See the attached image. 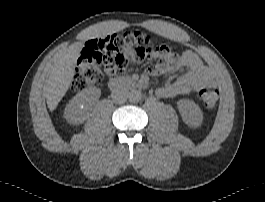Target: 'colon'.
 <instances>
[{"label": "colon", "mask_w": 265, "mask_h": 202, "mask_svg": "<svg viewBox=\"0 0 265 202\" xmlns=\"http://www.w3.org/2000/svg\"><path fill=\"white\" fill-rule=\"evenodd\" d=\"M167 51L156 44L150 35L137 32H119L100 38L93 53L81 58L72 78V91L77 93L102 82L106 77L124 74L128 59L142 62L157 58ZM203 106L216 108L219 89L216 86L203 88L199 93Z\"/></svg>", "instance_id": "obj_1"}]
</instances>
